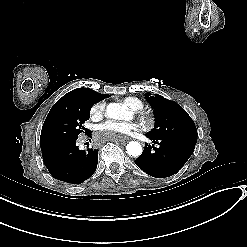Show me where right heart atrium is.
<instances>
[{
    "instance_id": "1",
    "label": "right heart atrium",
    "mask_w": 247,
    "mask_h": 247,
    "mask_svg": "<svg viewBox=\"0 0 247 247\" xmlns=\"http://www.w3.org/2000/svg\"><path fill=\"white\" fill-rule=\"evenodd\" d=\"M104 111H105V105L103 102L100 101L95 103L90 109L91 119L94 121L100 120L104 115Z\"/></svg>"
}]
</instances>
